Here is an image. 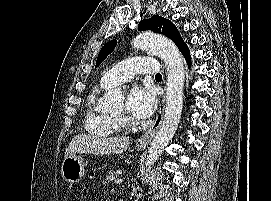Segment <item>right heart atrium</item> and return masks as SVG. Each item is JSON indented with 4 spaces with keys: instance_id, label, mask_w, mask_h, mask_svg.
Returning a JSON list of instances; mask_svg holds the SVG:
<instances>
[{
    "instance_id": "d8ad5b80",
    "label": "right heart atrium",
    "mask_w": 271,
    "mask_h": 201,
    "mask_svg": "<svg viewBox=\"0 0 271 201\" xmlns=\"http://www.w3.org/2000/svg\"><path fill=\"white\" fill-rule=\"evenodd\" d=\"M122 122H126L127 120L126 119H123V120H121Z\"/></svg>"
}]
</instances>
